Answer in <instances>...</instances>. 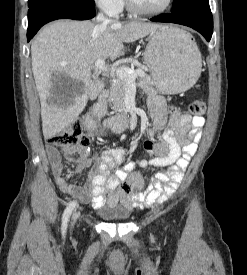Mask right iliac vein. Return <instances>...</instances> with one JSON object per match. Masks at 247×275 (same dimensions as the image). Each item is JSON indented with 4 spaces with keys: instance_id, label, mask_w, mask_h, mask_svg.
Here are the masks:
<instances>
[{
    "instance_id": "1",
    "label": "right iliac vein",
    "mask_w": 247,
    "mask_h": 275,
    "mask_svg": "<svg viewBox=\"0 0 247 275\" xmlns=\"http://www.w3.org/2000/svg\"><path fill=\"white\" fill-rule=\"evenodd\" d=\"M76 219H77V214H74V215H73L72 226L74 225V223H75Z\"/></svg>"
}]
</instances>
